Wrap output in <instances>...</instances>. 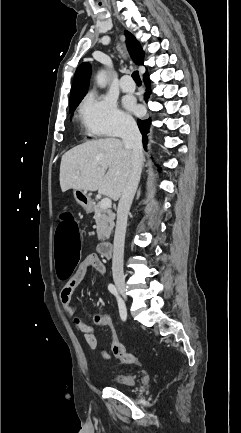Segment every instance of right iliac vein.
<instances>
[{"mask_svg": "<svg viewBox=\"0 0 241 433\" xmlns=\"http://www.w3.org/2000/svg\"><path fill=\"white\" fill-rule=\"evenodd\" d=\"M116 286L118 288V290L121 292V294L123 295L124 299L126 300V285L123 281L118 280L116 281Z\"/></svg>", "mask_w": 241, "mask_h": 433, "instance_id": "right-iliac-vein-1", "label": "right iliac vein"}]
</instances>
